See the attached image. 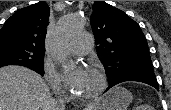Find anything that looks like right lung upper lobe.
<instances>
[{"mask_svg":"<svg viewBox=\"0 0 171 110\" xmlns=\"http://www.w3.org/2000/svg\"><path fill=\"white\" fill-rule=\"evenodd\" d=\"M49 6L40 1L19 9L0 29V43L10 42L35 50H45Z\"/></svg>","mask_w":171,"mask_h":110,"instance_id":"obj_1","label":"right lung upper lobe"}]
</instances>
